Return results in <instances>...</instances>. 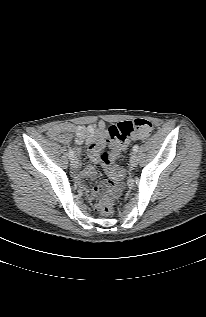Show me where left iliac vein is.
<instances>
[{
    "label": "left iliac vein",
    "instance_id": "1",
    "mask_svg": "<svg viewBox=\"0 0 206 317\" xmlns=\"http://www.w3.org/2000/svg\"><path fill=\"white\" fill-rule=\"evenodd\" d=\"M138 164V156L136 153H132L130 157V167H136Z\"/></svg>",
    "mask_w": 206,
    "mask_h": 317
}]
</instances>
